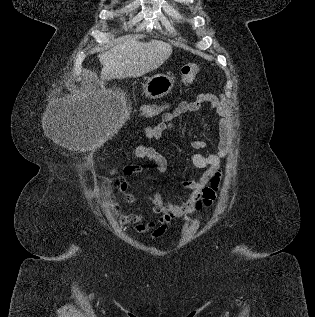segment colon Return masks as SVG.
Segmentation results:
<instances>
[{
  "label": "colon",
  "mask_w": 315,
  "mask_h": 317,
  "mask_svg": "<svg viewBox=\"0 0 315 317\" xmlns=\"http://www.w3.org/2000/svg\"><path fill=\"white\" fill-rule=\"evenodd\" d=\"M199 72V66L195 63H191L186 65L183 69H182V83L183 84H188L191 83L195 77L197 76ZM165 105H152V106H148L143 110V114L145 116H153L155 114H157Z\"/></svg>",
  "instance_id": "1"
}]
</instances>
